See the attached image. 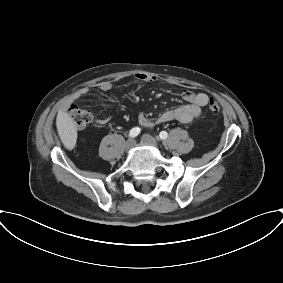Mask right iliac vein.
Segmentation results:
<instances>
[{
	"label": "right iliac vein",
	"instance_id": "right-iliac-vein-1",
	"mask_svg": "<svg viewBox=\"0 0 283 283\" xmlns=\"http://www.w3.org/2000/svg\"><path fill=\"white\" fill-rule=\"evenodd\" d=\"M133 145H134V140L133 139L127 140L126 145H125L126 150L127 151L130 150Z\"/></svg>",
	"mask_w": 283,
	"mask_h": 283
}]
</instances>
